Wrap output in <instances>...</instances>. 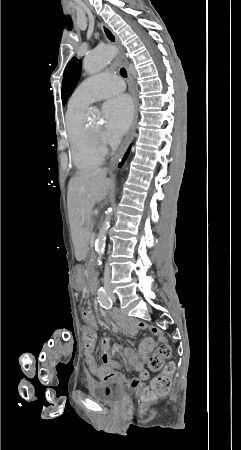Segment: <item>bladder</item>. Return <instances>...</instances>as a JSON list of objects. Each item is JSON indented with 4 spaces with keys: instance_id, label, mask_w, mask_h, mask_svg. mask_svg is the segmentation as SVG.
Segmentation results:
<instances>
[{
    "instance_id": "bladder-1",
    "label": "bladder",
    "mask_w": 241,
    "mask_h": 450,
    "mask_svg": "<svg viewBox=\"0 0 241 450\" xmlns=\"http://www.w3.org/2000/svg\"><path fill=\"white\" fill-rule=\"evenodd\" d=\"M95 399L102 402H117L122 400L126 395L125 387L117 382H105L92 391Z\"/></svg>"
}]
</instances>
